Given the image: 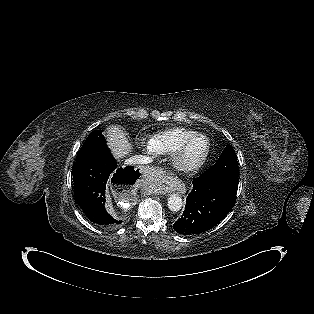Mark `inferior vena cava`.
I'll return each instance as SVG.
<instances>
[{
    "label": "inferior vena cava",
    "mask_w": 314,
    "mask_h": 314,
    "mask_svg": "<svg viewBox=\"0 0 314 314\" xmlns=\"http://www.w3.org/2000/svg\"><path fill=\"white\" fill-rule=\"evenodd\" d=\"M126 164L128 165H142V164H148L151 162V158L148 156L143 155H135L128 159H126Z\"/></svg>",
    "instance_id": "obj_1"
}]
</instances>
